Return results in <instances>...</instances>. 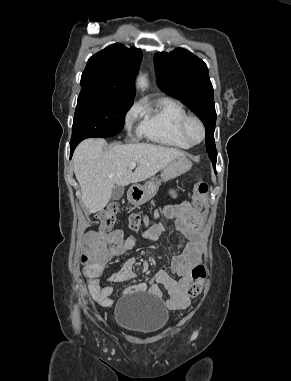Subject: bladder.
Returning <instances> with one entry per match:
<instances>
[{"instance_id": "31cf9c89", "label": "bladder", "mask_w": 291, "mask_h": 381, "mask_svg": "<svg viewBox=\"0 0 291 381\" xmlns=\"http://www.w3.org/2000/svg\"><path fill=\"white\" fill-rule=\"evenodd\" d=\"M116 325L132 334L148 336L160 332L168 323L169 312L161 301L148 293L124 296L115 306Z\"/></svg>"}]
</instances>
